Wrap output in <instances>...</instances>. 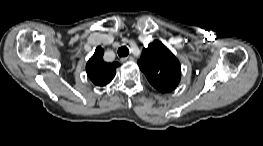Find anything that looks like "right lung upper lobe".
<instances>
[{
	"instance_id": "cb5924a9",
	"label": "right lung upper lobe",
	"mask_w": 263,
	"mask_h": 146,
	"mask_svg": "<svg viewBox=\"0 0 263 146\" xmlns=\"http://www.w3.org/2000/svg\"><path fill=\"white\" fill-rule=\"evenodd\" d=\"M104 50L99 46L86 64L88 77L96 86H105L113 79L118 62L107 63L103 60Z\"/></svg>"
}]
</instances>
